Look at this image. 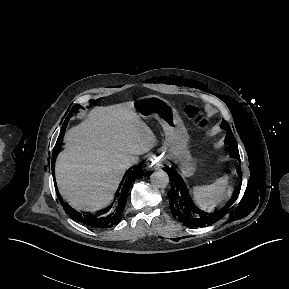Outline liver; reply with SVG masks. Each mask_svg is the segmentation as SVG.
<instances>
[{"label":"liver","instance_id":"obj_1","mask_svg":"<svg viewBox=\"0 0 289 289\" xmlns=\"http://www.w3.org/2000/svg\"><path fill=\"white\" fill-rule=\"evenodd\" d=\"M64 140L66 148L56 159V183L65 201L86 211L107 206L130 167L129 160L156 144L133 102L91 110Z\"/></svg>","mask_w":289,"mask_h":289}]
</instances>
